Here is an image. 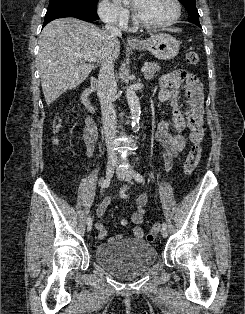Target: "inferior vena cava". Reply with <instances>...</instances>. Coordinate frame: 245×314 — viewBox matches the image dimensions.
<instances>
[{
	"instance_id": "obj_1",
	"label": "inferior vena cava",
	"mask_w": 245,
	"mask_h": 314,
	"mask_svg": "<svg viewBox=\"0 0 245 314\" xmlns=\"http://www.w3.org/2000/svg\"><path fill=\"white\" fill-rule=\"evenodd\" d=\"M116 17L110 15L106 19L105 29L111 36H121V30L115 26ZM97 94L100 99L103 130L106 139L108 160L116 163L118 161L117 153L114 150L116 137V111L113 105L116 95V82L114 78L113 62L103 63L98 75Z\"/></svg>"
}]
</instances>
